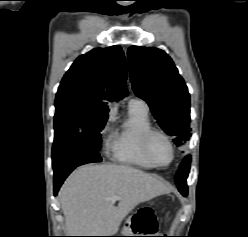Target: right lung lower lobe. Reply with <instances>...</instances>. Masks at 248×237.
<instances>
[{"label":"right lung lower lobe","instance_id":"obj_1","mask_svg":"<svg viewBox=\"0 0 248 237\" xmlns=\"http://www.w3.org/2000/svg\"><path fill=\"white\" fill-rule=\"evenodd\" d=\"M102 159L98 151L89 150L88 147L68 148L53 147L52 161L54 170V194L56 195L66 177L78 166L100 162Z\"/></svg>","mask_w":248,"mask_h":237}]
</instances>
